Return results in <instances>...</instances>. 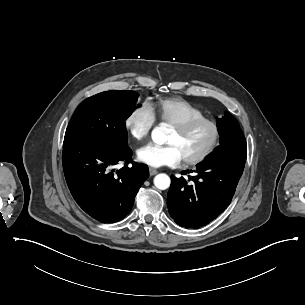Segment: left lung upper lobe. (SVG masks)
<instances>
[{"label":"left lung upper lobe","mask_w":305,"mask_h":305,"mask_svg":"<svg viewBox=\"0 0 305 305\" xmlns=\"http://www.w3.org/2000/svg\"><path fill=\"white\" fill-rule=\"evenodd\" d=\"M217 127L220 134V145L210 157L246 156V139L237 120L230 113L225 112V116L217 121Z\"/></svg>","instance_id":"obj_1"}]
</instances>
